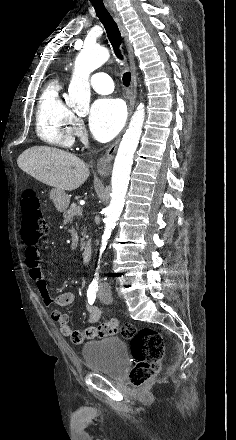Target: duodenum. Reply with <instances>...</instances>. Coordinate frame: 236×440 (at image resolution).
<instances>
[{"instance_id": "obj_1", "label": "duodenum", "mask_w": 236, "mask_h": 440, "mask_svg": "<svg viewBox=\"0 0 236 440\" xmlns=\"http://www.w3.org/2000/svg\"><path fill=\"white\" fill-rule=\"evenodd\" d=\"M92 253H93L92 245L90 242H87L83 248V253H82V261L84 264H87L91 260Z\"/></svg>"}]
</instances>
